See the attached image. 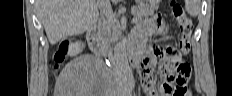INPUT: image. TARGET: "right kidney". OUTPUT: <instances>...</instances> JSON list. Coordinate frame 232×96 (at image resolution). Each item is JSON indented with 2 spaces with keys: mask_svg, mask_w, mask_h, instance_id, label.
Masks as SVG:
<instances>
[{
  "mask_svg": "<svg viewBox=\"0 0 232 96\" xmlns=\"http://www.w3.org/2000/svg\"><path fill=\"white\" fill-rule=\"evenodd\" d=\"M82 48H83L82 42L71 43L69 46V54L70 55L78 54L79 52L82 51Z\"/></svg>",
  "mask_w": 232,
  "mask_h": 96,
  "instance_id": "right-kidney-1",
  "label": "right kidney"
}]
</instances>
